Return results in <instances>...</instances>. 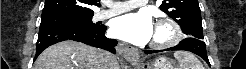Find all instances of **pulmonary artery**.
<instances>
[{"label":"pulmonary artery","instance_id":"e3ab8cb5","mask_svg":"<svg viewBox=\"0 0 246 69\" xmlns=\"http://www.w3.org/2000/svg\"><path fill=\"white\" fill-rule=\"evenodd\" d=\"M147 4V1L142 0H134L124 3H117V4H110V9L105 11H99L96 16L98 19H106L111 16L117 15L119 13L125 12L127 10L133 9V8H139L142 6H145Z\"/></svg>","mask_w":246,"mask_h":69}]
</instances>
